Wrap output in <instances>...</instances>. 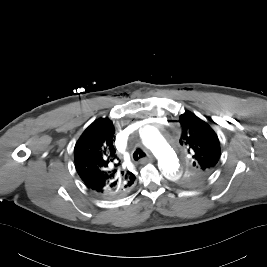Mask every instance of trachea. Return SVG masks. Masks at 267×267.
I'll return each instance as SVG.
<instances>
[{
  "mask_svg": "<svg viewBox=\"0 0 267 267\" xmlns=\"http://www.w3.org/2000/svg\"><path fill=\"white\" fill-rule=\"evenodd\" d=\"M144 157H146V153L140 148H137L133 153V158L135 161H138L139 159Z\"/></svg>",
  "mask_w": 267,
  "mask_h": 267,
  "instance_id": "obj_1",
  "label": "trachea"
}]
</instances>
